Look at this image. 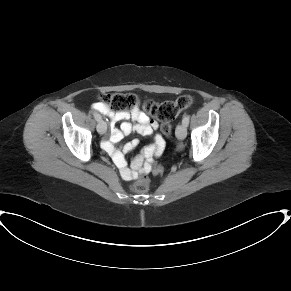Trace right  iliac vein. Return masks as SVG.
Returning <instances> with one entry per match:
<instances>
[{
	"label": "right iliac vein",
	"instance_id": "obj_1",
	"mask_svg": "<svg viewBox=\"0 0 291 291\" xmlns=\"http://www.w3.org/2000/svg\"><path fill=\"white\" fill-rule=\"evenodd\" d=\"M96 129H97L98 133H100V134L106 133V131H107V124H106V122H104L102 120L99 121V123L96 126Z\"/></svg>",
	"mask_w": 291,
	"mask_h": 291
}]
</instances>
